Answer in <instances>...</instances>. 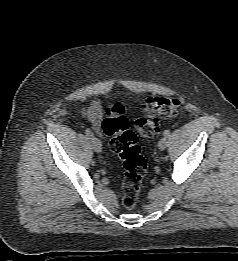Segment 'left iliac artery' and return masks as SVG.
I'll use <instances>...</instances> for the list:
<instances>
[{
    "label": "left iliac artery",
    "mask_w": 238,
    "mask_h": 261,
    "mask_svg": "<svg viewBox=\"0 0 238 261\" xmlns=\"http://www.w3.org/2000/svg\"><path fill=\"white\" fill-rule=\"evenodd\" d=\"M163 135H164L165 137H169V136H170V131H169V130H165V131L163 132Z\"/></svg>",
    "instance_id": "left-iliac-artery-1"
}]
</instances>
